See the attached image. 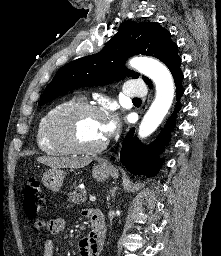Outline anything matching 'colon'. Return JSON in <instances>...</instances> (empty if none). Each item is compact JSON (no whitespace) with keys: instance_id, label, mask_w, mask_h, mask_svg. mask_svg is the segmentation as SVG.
<instances>
[{"instance_id":"1","label":"colon","mask_w":221,"mask_h":256,"mask_svg":"<svg viewBox=\"0 0 221 256\" xmlns=\"http://www.w3.org/2000/svg\"><path fill=\"white\" fill-rule=\"evenodd\" d=\"M45 193L34 177L27 180L24 188L23 207L28 218L36 219L45 205Z\"/></svg>"}]
</instances>
